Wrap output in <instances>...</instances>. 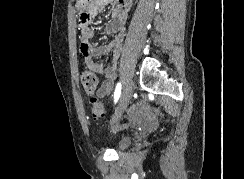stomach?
Listing matches in <instances>:
<instances>
[{
	"mask_svg": "<svg viewBox=\"0 0 244 179\" xmlns=\"http://www.w3.org/2000/svg\"><path fill=\"white\" fill-rule=\"evenodd\" d=\"M78 2H81V3H78V5H77L78 8H85V6H86L85 3L86 2H89V0H78ZM78 13L79 14H84L85 13V10L84 9H79L78 10Z\"/></svg>",
	"mask_w": 244,
	"mask_h": 179,
	"instance_id": "0dacf381",
	"label": "stomach"
}]
</instances>
